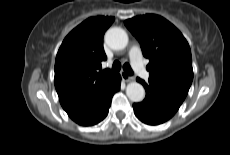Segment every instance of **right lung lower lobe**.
Instances as JSON below:
<instances>
[{
    "label": "right lung lower lobe",
    "mask_w": 230,
    "mask_h": 155,
    "mask_svg": "<svg viewBox=\"0 0 230 155\" xmlns=\"http://www.w3.org/2000/svg\"><path fill=\"white\" fill-rule=\"evenodd\" d=\"M121 76L116 74L109 86L94 100L66 111L69 117L82 126H91L102 121L108 114L111 99L120 90Z\"/></svg>",
    "instance_id": "right-lung-lower-lobe-1"
}]
</instances>
